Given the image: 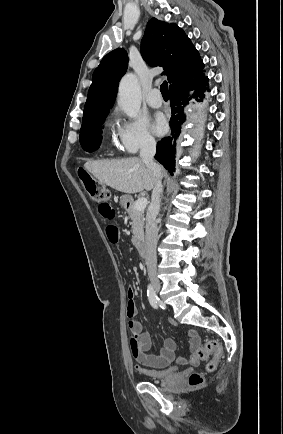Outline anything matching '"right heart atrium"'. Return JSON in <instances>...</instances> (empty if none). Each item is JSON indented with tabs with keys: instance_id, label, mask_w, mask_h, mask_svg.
Masks as SVG:
<instances>
[{
	"instance_id": "d8ad5b80",
	"label": "right heart atrium",
	"mask_w": 283,
	"mask_h": 434,
	"mask_svg": "<svg viewBox=\"0 0 283 434\" xmlns=\"http://www.w3.org/2000/svg\"><path fill=\"white\" fill-rule=\"evenodd\" d=\"M116 136L118 148L127 154H135L155 144L148 123L142 117L119 121Z\"/></svg>"
}]
</instances>
